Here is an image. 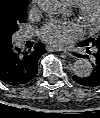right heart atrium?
<instances>
[{
    "label": "right heart atrium",
    "mask_w": 100,
    "mask_h": 118,
    "mask_svg": "<svg viewBox=\"0 0 100 118\" xmlns=\"http://www.w3.org/2000/svg\"><path fill=\"white\" fill-rule=\"evenodd\" d=\"M37 0H33V2L35 3Z\"/></svg>",
    "instance_id": "obj_1"
}]
</instances>
